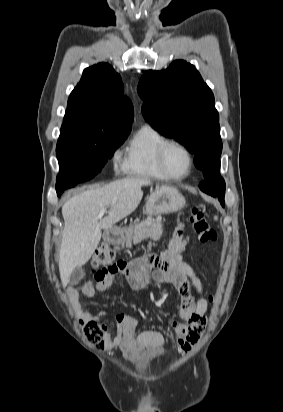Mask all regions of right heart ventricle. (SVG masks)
I'll use <instances>...</instances> for the list:
<instances>
[{
  "mask_svg": "<svg viewBox=\"0 0 283 412\" xmlns=\"http://www.w3.org/2000/svg\"><path fill=\"white\" fill-rule=\"evenodd\" d=\"M169 138L151 125H143L130 139L125 149L121 167L130 175L164 179L157 157L161 146Z\"/></svg>",
  "mask_w": 283,
  "mask_h": 412,
  "instance_id": "1",
  "label": "right heart ventricle"
}]
</instances>
